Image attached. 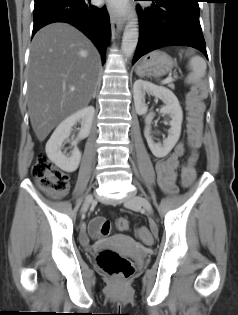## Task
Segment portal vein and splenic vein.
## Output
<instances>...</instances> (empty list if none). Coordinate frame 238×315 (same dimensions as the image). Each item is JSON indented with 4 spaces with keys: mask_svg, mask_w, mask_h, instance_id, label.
Masks as SVG:
<instances>
[{
    "mask_svg": "<svg viewBox=\"0 0 238 315\" xmlns=\"http://www.w3.org/2000/svg\"><path fill=\"white\" fill-rule=\"evenodd\" d=\"M175 78H176V77L173 78V77H171V76H168V77L163 81V83H164V84L170 83V82L174 81ZM70 90H71V91H74V90H75V87H71Z\"/></svg>",
    "mask_w": 238,
    "mask_h": 315,
    "instance_id": "1",
    "label": "portal vein and splenic vein"
}]
</instances>
